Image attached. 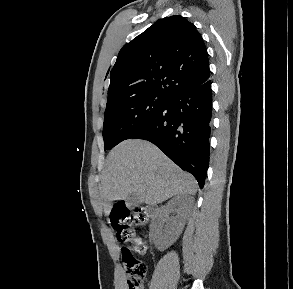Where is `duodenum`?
I'll return each instance as SVG.
<instances>
[{"label":"duodenum","mask_w":293,"mask_h":289,"mask_svg":"<svg viewBox=\"0 0 293 289\" xmlns=\"http://www.w3.org/2000/svg\"><path fill=\"white\" fill-rule=\"evenodd\" d=\"M149 212H150L151 215H154L155 212H156V208L155 207H150Z\"/></svg>","instance_id":"410a0bca"}]
</instances>
